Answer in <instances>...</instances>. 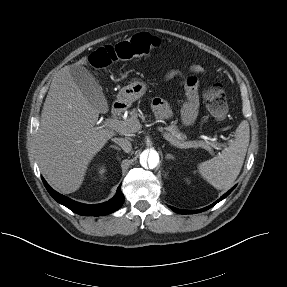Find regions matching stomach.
<instances>
[{
	"label": "stomach",
	"mask_w": 287,
	"mask_h": 287,
	"mask_svg": "<svg viewBox=\"0 0 287 287\" xmlns=\"http://www.w3.org/2000/svg\"><path fill=\"white\" fill-rule=\"evenodd\" d=\"M147 86L144 82L135 81L123 87L118 94V100L126 106H130L146 92Z\"/></svg>",
	"instance_id": "obj_1"
}]
</instances>
